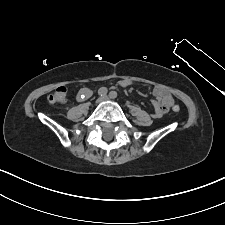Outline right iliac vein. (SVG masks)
Wrapping results in <instances>:
<instances>
[{
    "mask_svg": "<svg viewBox=\"0 0 225 225\" xmlns=\"http://www.w3.org/2000/svg\"><path fill=\"white\" fill-rule=\"evenodd\" d=\"M101 101H102V98L99 97V98L96 100V103L98 104V103H100Z\"/></svg>",
    "mask_w": 225,
    "mask_h": 225,
    "instance_id": "right-iliac-vein-1",
    "label": "right iliac vein"
}]
</instances>
